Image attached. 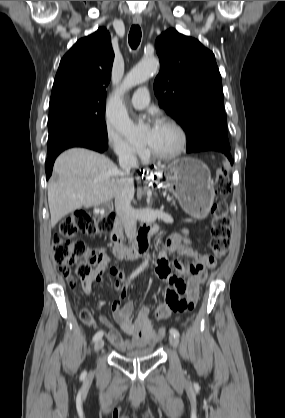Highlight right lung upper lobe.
I'll list each match as a JSON object with an SVG mask.
<instances>
[{"label": "right lung upper lobe", "mask_w": 285, "mask_h": 418, "mask_svg": "<svg viewBox=\"0 0 285 418\" xmlns=\"http://www.w3.org/2000/svg\"><path fill=\"white\" fill-rule=\"evenodd\" d=\"M113 60L111 38L105 28L78 40L60 61L50 104L61 101L105 104Z\"/></svg>", "instance_id": "cb5924a9"}]
</instances>
